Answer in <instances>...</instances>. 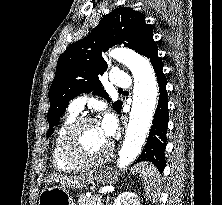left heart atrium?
Listing matches in <instances>:
<instances>
[{"label": "left heart atrium", "instance_id": "39dd6f15", "mask_svg": "<svg viewBox=\"0 0 222 205\" xmlns=\"http://www.w3.org/2000/svg\"><path fill=\"white\" fill-rule=\"evenodd\" d=\"M99 125L103 134L110 139L116 130L117 123L115 117L112 114L107 113Z\"/></svg>", "mask_w": 222, "mask_h": 205}]
</instances>
